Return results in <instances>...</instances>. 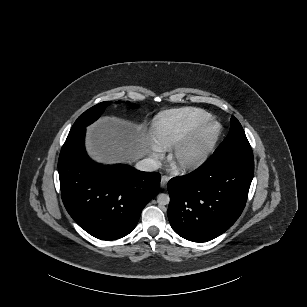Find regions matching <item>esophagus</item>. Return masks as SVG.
I'll use <instances>...</instances> for the list:
<instances>
[{"instance_id":"34e87169","label":"esophagus","mask_w":307,"mask_h":307,"mask_svg":"<svg viewBox=\"0 0 307 307\" xmlns=\"http://www.w3.org/2000/svg\"><path fill=\"white\" fill-rule=\"evenodd\" d=\"M168 180H169V176H167V175H163L162 177H161V188H163V189H165L166 188V186H167V183H168Z\"/></svg>"}]
</instances>
